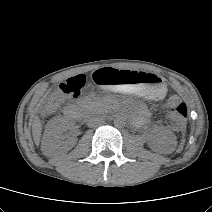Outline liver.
Masks as SVG:
<instances>
[{
  "mask_svg": "<svg viewBox=\"0 0 212 212\" xmlns=\"http://www.w3.org/2000/svg\"><path fill=\"white\" fill-rule=\"evenodd\" d=\"M42 133V124L39 117H35L32 123V135L36 145H39Z\"/></svg>",
  "mask_w": 212,
  "mask_h": 212,
  "instance_id": "1",
  "label": "liver"
}]
</instances>
